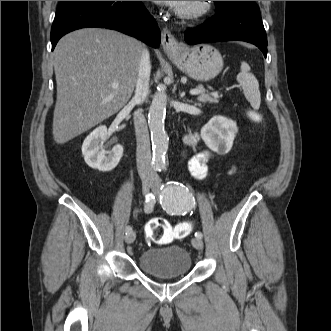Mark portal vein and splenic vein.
<instances>
[{"label":"portal vein and splenic vein","instance_id":"obj_1","mask_svg":"<svg viewBox=\"0 0 331 331\" xmlns=\"http://www.w3.org/2000/svg\"><path fill=\"white\" fill-rule=\"evenodd\" d=\"M118 83H113L112 84V88H114V89H116V88H118ZM201 93V90H199V89H192L191 91H190V94L191 95H198V94H200ZM212 95L213 96H217V93H212Z\"/></svg>","mask_w":331,"mask_h":331}]
</instances>
